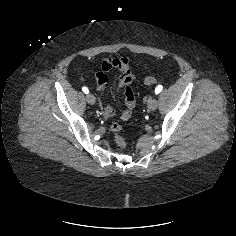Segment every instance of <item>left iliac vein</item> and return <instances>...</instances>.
<instances>
[{
  "label": "left iliac vein",
  "mask_w": 236,
  "mask_h": 236,
  "mask_svg": "<svg viewBox=\"0 0 236 236\" xmlns=\"http://www.w3.org/2000/svg\"><path fill=\"white\" fill-rule=\"evenodd\" d=\"M157 106H158L157 99L154 98V97L150 98L149 101H148V108H149V110L154 111V110H156Z\"/></svg>",
  "instance_id": "left-iliac-vein-1"
}]
</instances>
